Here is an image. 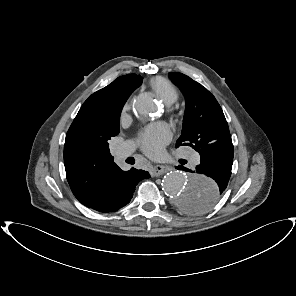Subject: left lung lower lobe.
Instances as JSON below:
<instances>
[{
  "instance_id": "left-lung-lower-lobe-1",
  "label": "left lung lower lobe",
  "mask_w": 296,
  "mask_h": 296,
  "mask_svg": "<svg viewBox=\"0 0 296 296\" xmlns=\"http://www.w3.org/2000/svg\"><path fill=\"white\" fill-rule=\"evenodd\" d=\"M216 144L217 146L200 155V164L197 165L194 171L182 165L176 167L179 170L194 173L193 177H211L217 184L215 191L203 194L199 198H194L187 204L186 209L190 212L198 213L208 210L219 200L227 188L234 154L231 135L219 139Z\"/></svg>"
}]
</instances>
